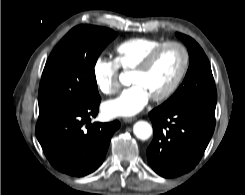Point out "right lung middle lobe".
I'll list each match as a JSON object with an SVG mask.
<instances>
[{
  "label": "right lung middle lobe",
  "mask_w": 245,
  "mask_h": 195,
  "mask_svg": "<svg viewBox=\"0 0 245 195\" xmlns=\"http://www.w3.org/2000/svg\"><path fill=\"white\" fill-rule=\"evenodd\" d=\"M117 33L91 25L70 30L56 45L43 70L39 114L85 106L100 99L94 66Z\"/></svg>",
  "instance_id": "1"
}]
</instances>
